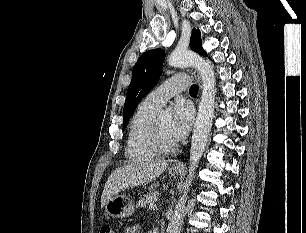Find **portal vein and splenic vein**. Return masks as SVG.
Instances as JSON below:
<instances>
[{
	"label": "portal vein and splenic vein",
	"instance_id": "obj_1",
	"mask_svg": "<svg viewBox=\"0 0 306 233\" xmlns=\"http://www.w3.org/2000/svg\"><path fill=\"white\" fill-rule=\"evenodd\" d=\"M157 208V206H156V204H149V209L150 210H154V209H156Z\"/></svg>",
	"mask_w": 306,
	"mask_h": 233
}]
</instances>
